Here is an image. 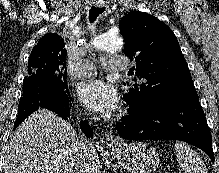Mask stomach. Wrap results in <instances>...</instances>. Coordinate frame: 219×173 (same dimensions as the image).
<instances>
[{
    "instance_id": "obj_1",
    "label": "stomach",
    "mask_w": 219,
    "mask_h": 173,
    "mask_svg": "<svg viewBox=\"0 0 219 173\" xmlns=\"http://www.w3.org/2000/svg\"><path fill=\"white\" fill-rule=\"evenodd\" d=\"M111 151L129 173H153L159 165L158 153L145 142L120 143Z\"/></svg>"
}]
</instances>
